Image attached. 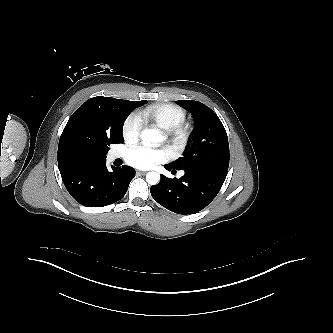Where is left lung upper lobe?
Masks as SVG:
<instances>
[{"instance_id": "left-lung-upper-lobe-1", "label": "left lung upper lobe", "mask_w": 333, "mask_h": 333, "mask_svg": "<svg viewBox=\"0 0 333 333\" xmlns=\"http://www.w3.org/2000/svg\"><path fill=\"white\" fill-rule=\"evenodd\" d=\"M177 104L192 113L194 140L183 156L168 164L176 170L201 166L229 167V143L225 128L213 110L198 101L180 100Z\"/></svg>"}]
</instances>
